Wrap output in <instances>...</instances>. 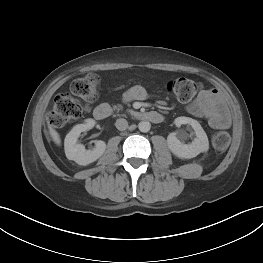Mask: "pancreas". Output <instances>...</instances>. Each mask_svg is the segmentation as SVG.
Instances as JSON below:
<instances>
[{
	"instance_id": "1",
	"label": "pancreas",
	"mask_w": 263,
	"mask_h": 263,
	"mask_svg": "<svg viewBox=\"0 0 263 263\" xmlns=\"http://www.w3.org/2000/svg\"><path fill=\"white\" fill-rule=\"evenodd\" d=\"M114 109L120 110V109H122V106L121 105L114 106ZM129 112L134 113V111H132V110H129Z\"/></svg>"
}]
</instances>
